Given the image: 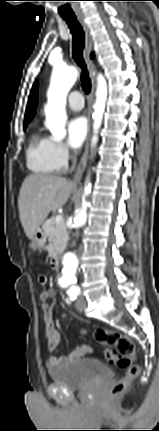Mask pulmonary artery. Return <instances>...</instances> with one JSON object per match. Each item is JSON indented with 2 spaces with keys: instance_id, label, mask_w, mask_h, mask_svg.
<instances>
[{
  "instance_id": "1",
  "label": "pulmonary artery",
  "mask_w": 159,
  "mask_h": 431,
  "mask_svg": "<svg viewBox=\"0 0 159 431\" xmlns=\"http://www.w3.org/2000/svg\"><path fill=\"white\" fill-rule=\"evenodd\" d=\"M68 106L75 111H79L84 107V98L79 91H73L67 99Z\"/></svg>"
}]
</instances>
